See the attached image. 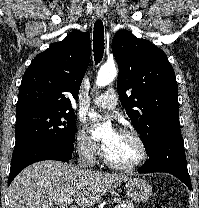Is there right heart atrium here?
Segmentation results:
<instances>
[{"instance_id": "right-heart-atrium-1", "label": "right heart atrium", "mask_w": 199, "mask_h": 208, "mask_svg": "<svg viewBox=\"0 0 199 208\" xmlns=\"http://www.w3.org/2000/svg\"><path fill=\"white\" fill-rule=\"evenodd\" d=\"M75 147L78 153L87 161L95 163L101 156L99 145L89 136L82 125L75 131Z\"/></svg>"}]
</instances>
